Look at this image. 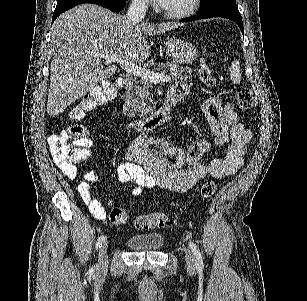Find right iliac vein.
I'll use <instances>...</instances> for the list:
<instances>
[{"label": "right iliac vein", "mask_w": 307, "mask_h": 301, "mask_svg": "<svg viewBox=\"0 0 307 301\" xmlns=\"http://www.w3.org/2000/svg\"><path fill=\"white\" fill-rule=\"evenodd\" d=\"M107 249H108V241L104 242L99 249L97 268L100 271L105 270L108 266Z\"/></svg>", "instance_id": "obj_1"}]
</instances>
